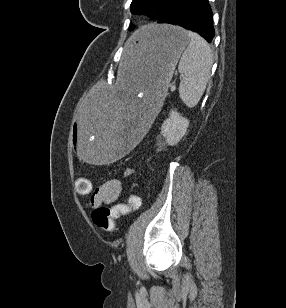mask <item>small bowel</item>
<instances>
[{
    "label": "small bowel",
    "instance_id": "1",
    "mask_svg": "<svg viewBox=\"0 0 286 308\" xmlns=\"http://www.w3.org/2000/svg\"><path fill=\"white\" fill-rule=\"evenodd\" d=\"M133 173L131 169L125 172V176ZM122 190V183L119 179H110L97 187L91 195L88 206L91 208L98 207L102 204L110 205L114 203Z\"/></svg>",
    "mask_w": 286,
    "mask_h": 308
}]
</instances>
